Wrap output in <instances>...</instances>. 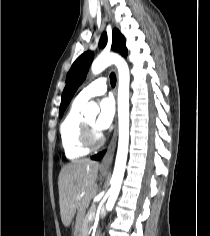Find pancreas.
<instances>
[{"instance_id": "obj_1", "label": "pancreas", "mask_w": 210, "mask_h": 236, "mask_svg": "<svg viewBox=\"0 0 210 236\" xmlns=\"http://www.w3.org/2000/svg\"><path fill=\"white\" fill-rule=\"evenodd\" d=\"M91 213H95V207H91L87 213V215L84 217L83 221H82V229H81V233L79 236H87L86 234L88 233L89 229H90V225L92 223V221L89 219V215Z\"/></svg>"}]
</instances>
